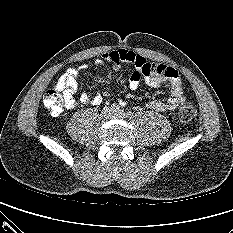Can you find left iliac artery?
<instances>
[{
  "instance_id": "left-iliac-artery-1",
  "label": "left iliac artery",
  "mask_w": 233,
  "mask_h": 233,
  "mask_svg": "<svg viewBox=\"0 0 233 233\" xmlns=\"http://www.w3.org/2000/svg\"><path fill=\"white\" fill-rule=\"evenodd\" d=\"M126 118L131 119L133 117V113L131 111H127L125 113Z\"/></svg>"
}]
</instances>
